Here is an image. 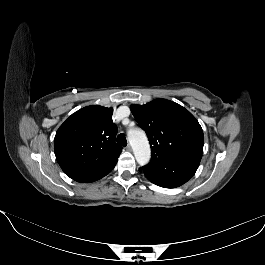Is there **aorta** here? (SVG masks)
Segmentation results:
<instances>
[{
  "instance_id": "obj_1",
  "label": "aorta",
  "mask_w": 265,
  "mask_h": 265,
  "mask_svg": "<svg viewBox=\"0 0 265 265\" xmlns=\"http://www.w3.org/2000/svg\"><path fill=\"white\" fill-rule=\"evenodd\" d=\"M128 140L138 164L140 166L148 164L150 161V146L144 131L141 129L129 130Z\"/></svg>"
}]
</instances>
